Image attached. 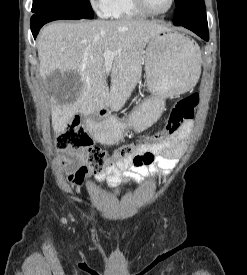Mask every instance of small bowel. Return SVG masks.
<instances>
[{"instance_id":"1","label":"small bowel","mask_w":247,"mask_h":275,"mask_svg":"<svg viewBox=\"0 0 247 275\" xmlns=\"http://www.w3.org/2000/svg\"><path fill=\"white\" fill-rule=\"evenodd\" d=\"M191 127L192 122L188 121L171 138L159 143L140 146L137 155L142 157V160L139 162L132 157L110 161L103 172L94 176L95 180L98 183H106L112 188L122 181L141 182L150 176L157 177L159 170L168 172L176 165L178 156L184 150ZM61 161L65 176L72 187L80 188L90 178L82 153L64 152L61 155Z\"/></svg>"}]
</instances>
